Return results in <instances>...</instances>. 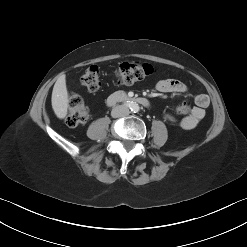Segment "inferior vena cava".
Returning <instances> with one entry per match:
<instances>
[{"mask_svg":"<svg viewBox=\"0 0 247 247\" xmlns=\"http://www.w3.org/2000/svg\"><path fill=\"white\" fill-rule=\"evenodd\" d=\"M115 116L117 117H124V116H127L129 115L130 111L127 107L125 106H122V105H119V106H116L113 110Z\"/></svg>","mask_w":247,"mask_h":247,"instance_id":"inferior-vena-cava-1","label":"inferior vena cava"}]
</instances>
